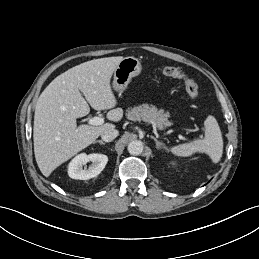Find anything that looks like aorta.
Returning a JSON list of instances; mask_svg holds the SVG:
<instances>
[{"label": "aorta", "mask_w": 259, "mask_h": 259, "mask_svg": "<svg viewBox=\"0 0 259 259\" xmlns=\"http://www.w3.org/2000/svg\"><path fill=\"white\" fill-rule=\"evenodd\" d=\"M127 149L131 155H140L143 152V143L140 140L131 141Z\"/></svg>", "instance_id": "762f6f07"}]
</instances>
